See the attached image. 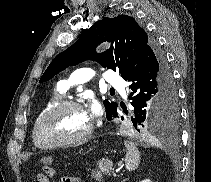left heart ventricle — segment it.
<instances>
[{"label":"left heart ventricle","instance_id":"left-heart-ventricle-1","mask_svg":"<svg viewBox=\"0 0 211 182\" xmlns=\"http://www.w3.org/2000/svg\"><path fill=\"white\" fill-rule=\"evenodd\" d=\"M90 123L86 111L66 108L48 119L42 128V134L47 141L71 139L82 135Z\"/></svg>","mask_w":211,"mask_h":182}]
</instances>
